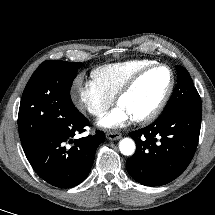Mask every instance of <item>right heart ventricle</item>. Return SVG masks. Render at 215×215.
<instances>
[{
    "instance_id": "1",
    "label": "right heart ventricle",
    "mask_w": 215,
    "mask_h": 215,
    "mask_svg": "<svg viewBox=\"0 0 215 215\" xmlns=\"http://www.w3.org/2000/svg\"><path fill=\"white\" fill-rule=\"evenodd\" d=\"M155 63L149 59H135L100 66L91 72L92 80L106 94L115 97L122 86L139 70Z\"/></svg>"
}]
</instances>
